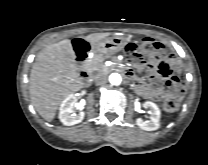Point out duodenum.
<instances>
[{
    "label": "duodenum",
    "mask_w": 208,
    "mask_h": 165,
    "mask_svg": "<svg viewBox=\"0 0 208 165\" xmlns=\"http://www.w3.org/2000/svg\"><path fill=\"white\" fill-rule=\"evenodd\" d=\"M89 51H90L89 46L87 45L83 46L82 51L81 53L78 54V57L76 60L78 75L84 81H87V79L89 78V70H88ZM119 70L126 78L128 79L132 78V72L130 70L123 68V67H119Z\"/></svg>",
    "instance_id": "duodenum-1"
}]
</instances>
